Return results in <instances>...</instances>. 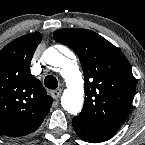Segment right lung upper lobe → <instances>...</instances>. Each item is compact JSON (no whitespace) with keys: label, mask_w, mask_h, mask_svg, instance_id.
<instances>
[{"label":"right lung upper lobe","mask_w":145,"mask_h":145,"mask_svg":"<svg viewBox=\"0 0 145 145\" xmlns=\"http://www.w3.org/2000/svg\"><path fill=\"white\" fill-rule=\"evenodd\" d=\"M42 40L39 32L19 37L0 51V135L20 137L43 122L53 99L29 66Z\"/></svg>","instance_id":"right-lung-upper-lobe-1"}]
</instances>
